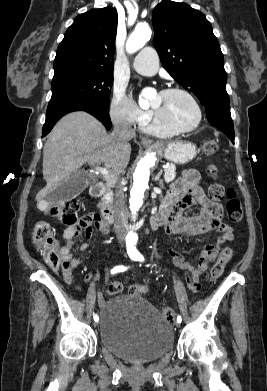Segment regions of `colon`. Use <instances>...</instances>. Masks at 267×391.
Returning a JSON list of instances; mask_svg holds the SVG:
<instances>
[{
  "mask_svg": "<svg viewBox=\"0 0 267 391\" xmlns=\"http://www.w3.org/2000/svg\"><path fill=\"white\" fill-rule=\"evenodd\" d=\"M217 149L218 144L215 140L210 138L204 140L203 151L206 155L214 154ZM207 170L211 176H216L217 169L214 165H209ZM209 196L213 201H219L226 197V211L230 221L240 222L243 219L242 204L234 189L229 188L225 190L223 185L215 182L209 188ZM79 210V201L68 199L59 202H48L45 213L54 218L55 221L69 226H77L92 221L90 215L80 216ZM31 237L36 248L42 253L45 262L52 269H59L63 265V259L50 225L44 221L37 222L33 227ZM232 254V250L228 247L221 251L217 261L211 268L210 280L214 281L221 276ZM121 290L122 284L117 281L111 282L107 288L110 295H117ZM146 291L147 288L145 285L136 284L130 288L129 293L130 295L143 296ZM162 315L167 322H171L174 319L175 313L172 308L165 307L162 310Z\"/></svg>",
  "mask_w": 267,
  "mask_h": 391,
  "instance_id": "1",
  "label": "colon"
}]
</instances>
